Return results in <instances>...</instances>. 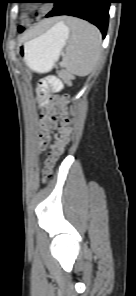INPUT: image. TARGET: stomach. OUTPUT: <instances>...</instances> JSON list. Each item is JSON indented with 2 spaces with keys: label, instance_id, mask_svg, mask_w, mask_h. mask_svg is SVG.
<instances>
[{
  "label": "stomach",
  "instance_id": "1",
  "mask_svg": "<svg viewBox=\"0 0 136 296\" xmlns=\"http://www.w3.org/2000/svg\"><path fill=\"white\" fill-rule=\"evenodd\" d=\"M69 37V29L56 23L48 31L19 45V54L33 71L48 72L59 58Z\"/></svg>",
  "mask_w": 136,
  "mask_h": 296
}]
</instances>
